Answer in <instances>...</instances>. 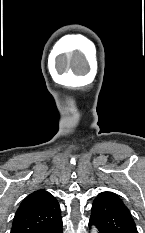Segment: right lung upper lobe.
<instances>
[{
    "mask_svg": "<svg viewBox=\"0 0 145 233\" xmlns=\"http://www.w3.org/2000/svg\"><path fill=\"white\" fill-rule=\"evenodd\" d=\"M61 219L58 201L45 190L28 195L16 211L11 233H47Z\"/></svg>",
    "mask_w": 145,
    "mask_h": 233,
    "instance_id": "obj_1",
    "label": "right lung upper lobe"
}]
</instances>
